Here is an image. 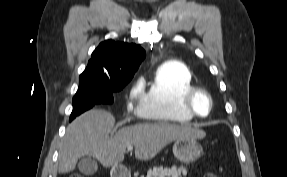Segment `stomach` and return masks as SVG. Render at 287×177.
<instances>
[{
	"label": "stomach",
	"instance_id": "0dacf381",
	"mask_svg": "<svg viewBox=\"0 0 287 177\" xmlns=\"http://www.w3.org/2000/svg\"><path fill=\"white\" fill-rule=\"evenodd\" d=\"M203 148L195 137H183L175 141L173 145V154L180 162L191 163L201 157ZM120 166H114L111 174L116 177L121 173Z\"/></svg>",
	"mask_w": 287,
	"mask_h": 177
}]
</instances>
